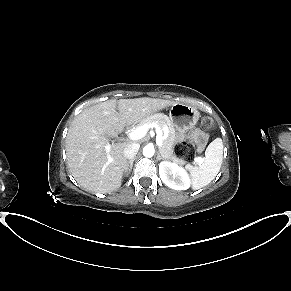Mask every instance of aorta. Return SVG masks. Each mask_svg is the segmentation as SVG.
I'll use <instances>...</instances> for the list:
<instances>
[{
  "mask_svg": "<svg viewBox=\"0 0 291 291\" xmlns=\"http://www.w3.org/2000/svg\"><path fill=\"white\" fill-rule=\"evenodd\" d=\"M154 153H155V149L152 144H148L143 148V155L145 157L151 158L154 156Z\"/></svg>",
  "mask_w": 291,
  "mask_h": 291,
  "instance_id": "aorta-1",
  "label": "aorta"
}]
</instances>
